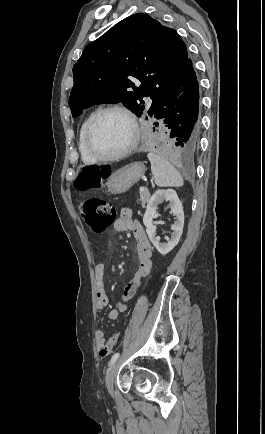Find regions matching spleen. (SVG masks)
<instances>
[{
  "label": "spleen",
  "mask_w": 265,
  "mask_h": 434,
  "mask_svg": "<svg viewBox=\"0 0 265 434\" xmlns=\"http://www.w3.org/2000/svg\"><path fill=\"white\" fill-rule=\"evenodd\" d=\"M147 158L151 164V172L156 186H161V188H166V186H177L179 188V186H183L184 182L181 174L165 158H161L154 152H150Z\"/></svg>",
  "instance_id": "1"
}]
</instances>
